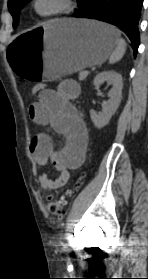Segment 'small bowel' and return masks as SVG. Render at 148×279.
I'll list each match as a JSON object with an SVG mask.
<instances>
[{
	"instance_id": "c3829d8e",
	"label": "small bowel",
	"mask_w": 148,
	"mask_h": 279,
	"mask_svg": "<svg viewBox=\"0 0 148 279\" xmlns=\"http://www.w3.org/2000/svg\"><path fill=\"white\" fill-rule=\"evenodd\" d=\"M79 95V84L74 80H64L57 89L43 91L38 101L28 107V115L35 124L49 125L65 139L60 150H55L51 137L46 133L35 135L30 142L38 180L45 190L56 191L63 187L69 180V170L79 168L85 160L88 131L82 115L72 103ZM48 163L60 172L56 179L41 171Z\"/></svg>"
}]
</instances>
